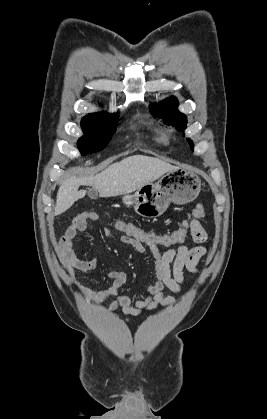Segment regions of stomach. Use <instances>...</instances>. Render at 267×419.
<instances>
[{
    "label": "stomach",
    "mask_w": 267,
    "mask_h": 419,
    "mask_svg": "<svg viewBox=\"0 0 267 419\" xmlns=\"http://www.w3.org/2000/svg\"><path fill=\"white\" fill-rule=\"evenodd\" d=\"M201 190V180L189 168H176L163 174L156 182L141 186L134 194H125L122 201L143 217L161 216L170 203L182 205L193 201Z\"/></svg>",
    "instance_id": "0dacf381"
}]
</instances>
